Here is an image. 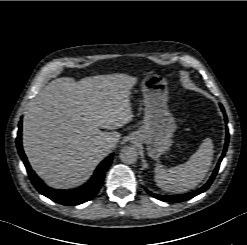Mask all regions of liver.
<instances>
[{"label":"liver","mask_w":247,"mask_h":245,"mask_svg":"<svg viewBox=\"0 0 247 245\" xmlns=\"http://www.w3.org/2000/svg\"><path fill=\"white\" fill-rule=\"evenodd\" d=\"M137 78L127 74L54 79L28 104L22 142L36 174L54 189L84 184L118 143L114 130L132 120L130 93Z\"/></svg>","instance_id":"obj_1"}]
</instances>
